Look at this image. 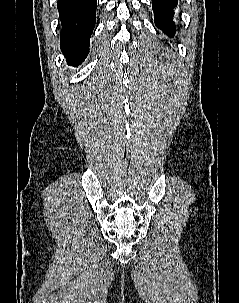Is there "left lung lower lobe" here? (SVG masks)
Listing matches in <instances>:
<instances>
[{
    "label": "left lung lower lobe",
    "instance_id": "1",
    "mask_svg": "<svg viewBox=\"0 0 239 303\" xmlns=\"http://www.w3.org/2000/svg\"><path fill=\"white\" fill-rule=\"evenodd\" d=\"M178 0H152L155 24L167 35L175 34L176 28L173 22V9L177 6Z\"/></svg>",
    "mask_w": 239,
    "mask_h": 303
}]
</instances>
